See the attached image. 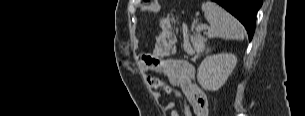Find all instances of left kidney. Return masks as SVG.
Returning a JSON list of instances; mask_svg holds the SVG:
<instances>
[{"label": "left kidney", "instance_id": "5707ae66", "mask_svg": "<svg viewBox=\"0 0 305 116\" xmlns=\"http://www.w3.org/2000/svg\"><path fill=\"white\" fill-rule=\"evenodd\" d=\"M236 63V56L230 53L208 55L198 67V82L206 91H217L225 84Z\"/></svg>", "mask_w": 305, "mask_h": 116}]
</instances>
